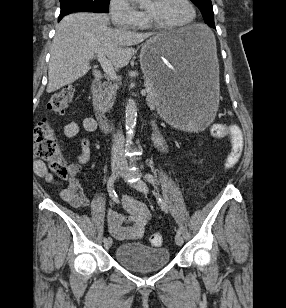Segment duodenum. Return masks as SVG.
<instances>
[{
	"mask_svg": "<svg viewBox=\"0 0 286 308\" xmlns=\"http://www.w3.org/2000/svg\"><path fill=\"white\" fill-rule=\"evenodd\" d=\"M102 87H103V82L101 79H95L91 84V93L96 102L98 100V94L102 90ZM96 110H97V120H98L99 125L104 130H107V131L111 130L112 124L107 119H105L103 115L99 113V110L97 108Z\"/></svg>",
	"mask_w": 286,
	"mask_h": 308,
	"instance_id": "410a0bca",
	"label": "duodenum"
}]
</instances>
